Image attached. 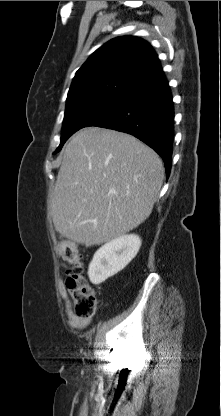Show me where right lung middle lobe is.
Returning a JSON list of instances; mask_svg holds the SVG:
<instances>
[{
    "label": "right lung middle lobe",
    "mask_w": 221,
    "mask_h": 416,
    "mask_svg": "<svg viewBox=\"0 0 221 416\" xmlns=\"http://www.w3.org/2000/svg\"><path fill=\"white\" fill-rule=\"evenodd\" d=\"M128 94L130 93L125 90H101L67 101L61 142L54 154L61 150L73 133L83 127L94 126L103 120Z\"/></svg>",
    "instance_id": "1"
}]
</instances>
